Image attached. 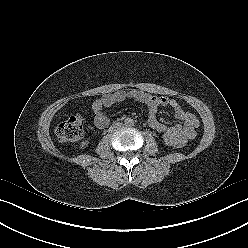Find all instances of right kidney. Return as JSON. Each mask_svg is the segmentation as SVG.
<instances>
[{
	"label": "right kidney",
	"instance_id": "1",
	"mask_svg": "<svg viewBox=\"0 0 248 248\" xmlns=\"http://www.w3.org/2000/svg\"><path fill=\"white\" fill-rule=\"evenodd\" d=\"M88 143H89L88 141H83L80 148L84 149L88 145Z\"/></svg>",
	"mask_w": 248,
	"mask_h": 248
}]
</instances>
